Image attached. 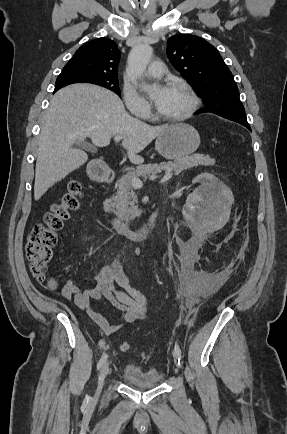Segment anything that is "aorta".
I'll use <instances>...</instances> for the list:
<instances>
[{"label":"aorta","instance_id":"1","mask_svg":"<svg viewBox=\"0 0 287 434\" xmlns=\"http://www.w3.org/2000/svg\"><path fill=\"white\" fill-rule=\"evenodd\" d=\"M152 54L153 49L148 44H140L133 47L128 56V73L135 78H141L150 62Z\"/></svg>","mask_w":287,"mask_h":434}]
</instances>
